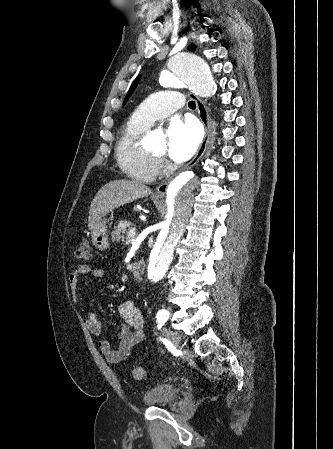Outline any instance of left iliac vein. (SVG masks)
<instances>
[{
  "label": "left iliac vein",
  "instance_id": "left-iliac-vein-1",
  "mask_svg": "<svg viewBox=\"0 0 333 449\" xmlns=\"http://www.w3.org/2000/svg\"><path fill=\"white\" fill-rule=\"evenodd\" d=\"M164 335L175 347H178L181 341V336L177 331L164 329Z\"/></svg>",
  "mask_w": 333,
  "mask_h": 449
}]
</instances>
